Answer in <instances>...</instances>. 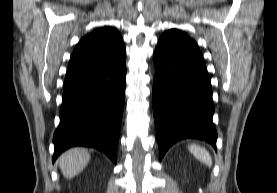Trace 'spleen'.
Returning a JSON list of instances; mask_svg holds the SVG:
<instances>
[{
    "instance_id": "1",
    "label": "spleen",
    "mask_w": 277,
    "mask_h": 193,
    "mask_svg": "<svg viewBox=\"0 0 277 193\" xmlns=\"http://www.w3.org/2000/svg\"><path fill=\"white\" fill-rule=\"evenodd\" d=\"M188 149L200 162L207 166H212L211 155L205 148L192 144L188 146Z\"/></svg>"
}]
</instances>
